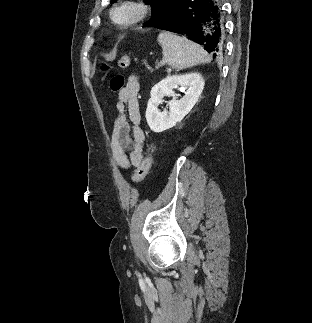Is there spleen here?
Segmentation results:
<instances>
[{
    "label": "spleen",
    "instance_id": "obj_1",
    "mask_svg": "<svg viewBox=\"0 0 312 323\" xmlns=\"http://www.w3.org/2000/svg\"><path fill=\"white\" fill-rule=\"evenodd\" d=\"M158 42L163 50V64H169L176 70H184V68H192L197 64H208L211 62V56L207 52L195 44L190 42L185 36H176L173 32L162 30L158 36Z\"/></svg>",
    "mask_w": 312,
    "mask_h": 323
}]
</instances>
